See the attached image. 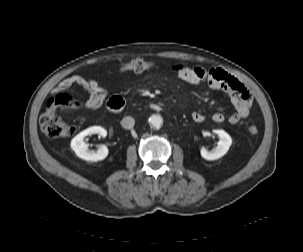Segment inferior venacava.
<instances>
[{
    "instance_id": "602c4592",
    "label": "inferior vena cava",
    "mask_w": 303,
    "mask_h": 252,
    "mask_svg": "<svg viewBox=\"0 0 303 252\" xmlns=\"http://www.w3.org/2000/svg\"><path fill=\"white\" fill-rule=\"evenodd\" d=\"M134 124H135V120L130 116L124 117L121 121V125L125 129L133 128Z\"/></svg>"
}]
</instances>
